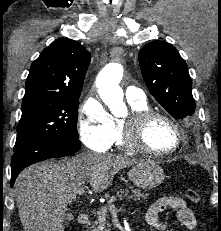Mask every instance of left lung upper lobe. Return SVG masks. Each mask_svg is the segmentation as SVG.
Returning a JSON list of instances; mask_svg holds the SVG:
<instances>
[{
	"instance_id": "1",
	"label": "left lung upper lobe",
	"mask_w": 221,
	"mask_h": 231,
	"mask_svg": "<svg viewBox=\"0 0 221 231\" xmlns=\"http://www.w3.org/2000/svg\"><path fill=\"white\" fill-rule=\"evenodd\" d=\"M139 62L149 91L169 114L175 119H188L194 114L192 81L175 47L153 41L141 48Z\"/></svg>"
}]
</instances>
